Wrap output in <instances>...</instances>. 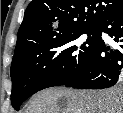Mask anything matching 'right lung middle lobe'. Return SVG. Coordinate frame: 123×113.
Segmentation results:
<instances>
[{
	"instance_id": "dd1d6c3e",
	"label": "right lung middle lobe",
	"mask_w": 123,
	"mask_h": 113,
	"mask_svg": "<svg viewBox=\"0 0 123 113\" xmlns=\"http://www.w3.org/2000/svg\"><path fill=\"white\" fill-rule=\"evenodd\" d=\"M99 28L74 29L15 48L11 102L15 110L34 93L75 79L99 43Z\"/></svg>"
}]
</instances>
